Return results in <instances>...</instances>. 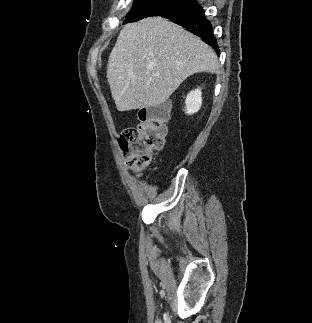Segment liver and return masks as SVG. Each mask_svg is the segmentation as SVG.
Listing matches in <instances>:
<instances>
[{
  "instance_id": "6515ba94",
  "label": "liver",
  "mask_w": 312,
  "mask_h": 323,
  "mask_svg": "<svg viewBox=\"0 0 312 323\" xmlns=\"http://www.w3.org/2000/svg\"><path fill=\"white\" fill-rule=\"evenodd\" d=\"M214 50L166 18H146L122 28L109 56L108 84L118 112L164 104L198 72H219Z\"/></svg>"
}]
</instances>
